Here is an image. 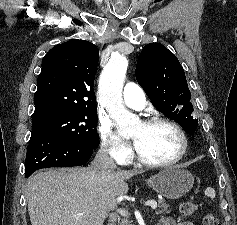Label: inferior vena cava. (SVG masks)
<instances>
[{"label":"inferior vena cava","mask_w":237,"mask_h":225,"mask_svg":"<svg viewBox=\"0 0 237 225\" xmlns=\"http://www.w3.org/2000/svg\"><path fill=\"white\" fill-rule=\"evenodd\" d=\"M110 150L111 147L107 144L100 148L91 165L95 172L105 175L114 172L116 164L113 157L110 155Z\"/></svg>","instance_id":"inferior-vena-cava-1"}]
</instances>
